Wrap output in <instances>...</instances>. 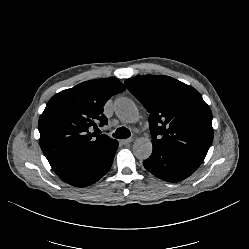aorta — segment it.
Here are the masks:
<instances>
[{
    "mask_svg": "<svg viewBox=\"0 0 249 249\" xmlns=\"http://www.w3.org/2000/svg\"><path fill=\"white\" fill-rule=\"evenodd\" d=\"M114 110L119 119L126 123H134L139 119V112L135 103L127 98L115 100ZM152 142L149 138H138L133 144V154L139 160H145L152 154Z\"/></svg>",
    "mask_w": 249,
    "mask_h": 249,
    "instance_id": "762f6f07",
    "label": "aorta"
}]
</instances>
